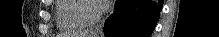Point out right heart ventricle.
Instances as JSON below:
<instances>
[{"instance_id":"right-heart-ventricle-1","label":"right heart ventricle","mask_w":219,"mask_h":37,"mask_svg":"<svg viewBox=\"0 0 219 37\" xmlns=\"http://www.w3.org/2000/svg\"><path fill=\"white\" fill-rule=\"evenodd\" d=\"M84 0H57L56 22L60 30L83 29L87 22L82 14Z\"/></svg>"}]
</instances>
